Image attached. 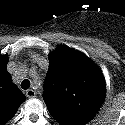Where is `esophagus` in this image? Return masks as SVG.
<instances>
[{"label": "esophagus", "instance_id": "obj_1", "mask_svg": "<svg viewBox=\"0 0 125 125\" xmlns=\"http://www.w3.org/2000/svg\"><path fill=\"white\" fill-rule=\"evenodd\" d=\"M26 96L28 98H34L36 96V91L33 89L26 90Z\"/></svg>", "mask_w": 125, "mask_h": 125}]
</instances>
